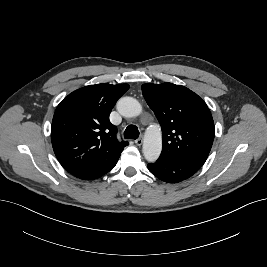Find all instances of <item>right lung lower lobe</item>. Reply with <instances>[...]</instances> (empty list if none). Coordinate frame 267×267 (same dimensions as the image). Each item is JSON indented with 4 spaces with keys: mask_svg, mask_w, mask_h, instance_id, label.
I'll list each match as a JSON object with an SVG mask.
<instances>
[{
    "mask_svg": "<svg viewBox=\"0 0 267 267\" xmlns=\"http://www.w3.org/2000/svg\"><path fill=\"white\" fill-rule=\"evenodd\" d=\"M112 168H113V167H112ZM112 168H111V169H112ZM111 169H110V170H111ZM78 178H79V177H78ZM98 178H99V177H98ZM81 179H83V180H92V179H84V178H81ZM95 179H96V178H95Z\"/></svg>",
    "mask_w": 267,
    "mask_h": 267,
    "instance_id": "1",
    "label": "right lung lower lobe"
}]
</instances>
